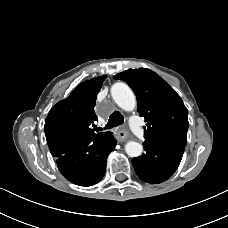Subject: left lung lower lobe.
I'll list each match as a JSON object with an SVG mask.
<instances>
[{"label": "left lung lower lobe", "instance_id": "1", "mask_svg": "<svg viewBox=\"0 0 228 228\" xmlns=\"http://www.w3.org/2000/svg\"><path fill=\"white\" fill-rule=\"evenodd\" d=\"M145 153L132 159L139 178L151 184L167 180L178 168L184 147L168 140L146 139Z\"/></svg>", "mask_w": 228, "mask_h": 228}]
</instances>
